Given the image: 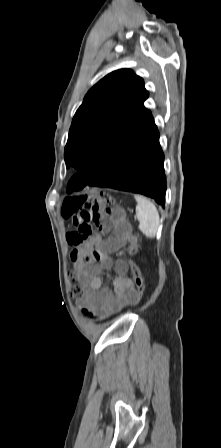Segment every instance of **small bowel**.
I'll use <instances>...</instances> for the list:
<instances>
[{"instance_id":"small-bowel-1","label":"small bowel","mask_w":221,"mask_h":448,"mask_svg":"<svg viewBox=\"0 0 221 448\" xmlns=\"http://www.w3.org/2000/svg\"><path fill=\"white\" fill-rule=\"evenodd\" d=\"M112 231L113 236L107 238L92 236L82 240L77 230L67 232L65 237L68 245L72 247L71 259L83 286L79 303L99 319L108 318L138 300L127 263L122 259L115 261L111 257L112 253L126 244L133 243L135 236L120 225L113 227ZM93 247L100 251L98 263L85 260V256ZM111 268H114L117 274L111 279L112 288H103L105 279L100 273Z\"/></svg>"}]
</instances>
